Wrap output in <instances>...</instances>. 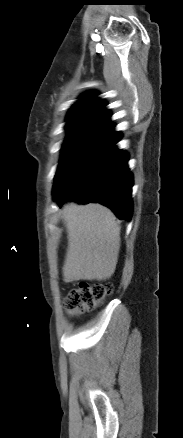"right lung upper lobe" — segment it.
Returning a JSON list of instances; mask_svg holds the SVG:
<instances>
[{
  "label": "right lung upper lobe",
  "instance_id": "right-lung-upper-lobe-1",
  "mask_svg": "<svg viewBox=\"0 0 183 438\" xmlns=\"http://www.w3.org/2000/svg\"><path fill=\"white\" fill-rule=\"evenodd\" d=\"M96 92L83 95L67 116V130L93 129L99 131L111 123V113L105 109L106 102L95 98Z\"/></svg>",
  "mask_w": 183,
  "mask_h": 438
}]
</instances>
